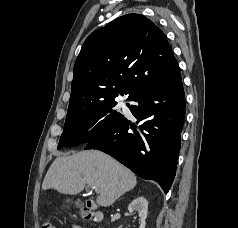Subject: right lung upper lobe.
<instances>
[{
  "instance_id": "cb5924a9",
  "label": "right lung upper lobe",
  "mask_w": 238,
  "mask_h": 228,
  "mask_svg": "<svg viewBox=\"0 0 238 228\" xmlns=\"http://www.w3.org/2000/svg\"><path fill=\"white\" fill-rule=\"evenodd\" d=\"M179 65L164 33L140 14L121 16L87 37L74 66L68 113L118 95L171 83Z\"/></svg>"
}]
</instances>
